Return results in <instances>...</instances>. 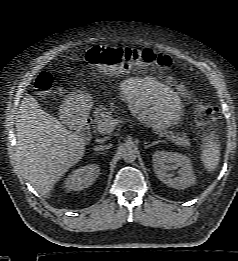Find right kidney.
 <instances>
[{"instance_id":"ca27d5eb","label":"right kidney","mask_w":238,"mask_h":261,"mask_svg":"<svg viewBox=\"0 0 238 261\" xmlns=\"http://www.w3.org/2000/svg\"><path fill=\"white\" fill-rule=\"evenodd\" d=\"M98 165L91 164L72 171V174L65 180V187L68 191L83 190L92 185L99 176Z\"/></svg>"}]
</instances>
